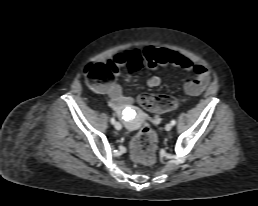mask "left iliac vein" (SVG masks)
Segmentation results:
<instances>
[{"label":"left iliac vein","instance_id":"obj_1","mask_svg":"<svg viewBox=\"0 0 258 206\" xmlns=\"http://www.w3.org/2000/svg\"><path fill=\"white\" fill-rule=\"evenodd\" d=\"M172 129V125L171 124H167L166 126H165V130L166 131H170Z\"/></svg>","mask_w":258,"mask_h":206}]
</instances>
